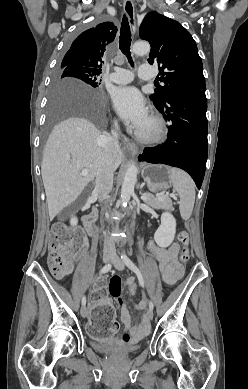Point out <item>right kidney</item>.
Listing matches in <instances>:
<instances>
[{
  "mask_svg": "<svg viewBox=\"0 0 248 389\" xmlns=\"http://www.w3.org/2000/svg\"><path fill=\"white\" fill-rule=\"evenodd\" d=\"M70 224L72 226H76L78 224V219L76 216H72L71 219H70Z\"/></svg>",
  "mask_w": 248,
  "mask_h": 389,
  "instance_id": "ca27d5eb",
  "label": "right kidney"
}]
</instances>
